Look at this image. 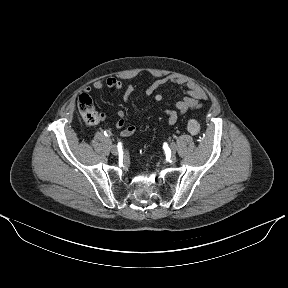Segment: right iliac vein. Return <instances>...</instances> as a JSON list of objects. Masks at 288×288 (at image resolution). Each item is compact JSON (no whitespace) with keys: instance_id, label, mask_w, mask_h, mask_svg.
<instances>
[{"instance_id":"1","label":"right iliac vein","mask_w":288,"mask_h":288,"mask_svg":"<svg viewBox=\"0 0 288 288\" xmlns=\"http://www.w3.org/2000/svg\"><path fill=\"white\" fill-rule=\"evenodd\" d=\"M111 152L113 155H117L118 154V147L116 145H112L111 146Z\"/></svg>"}]
</instances>
